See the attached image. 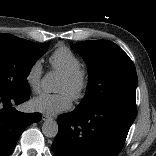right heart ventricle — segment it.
I'll use <instances>...</instances> for the list:
<instances>
[{
	"instance_id": "obj_1",
	"label": "right heart ventricle",
	"mask_w": 156,
	"mask_h": 156,
	"mask_svg": "<svg viewBox=\"0 0 156 156\" xmlns=\"http://www.w3.org/2000/svg\"><path fill=\"white\" fill-rule=\"evenodd\" d=\"M52 69L60 74L70 73L81 67V60L68 47L61 46L49 58Z\"/></svg>"
}]
</instances>
